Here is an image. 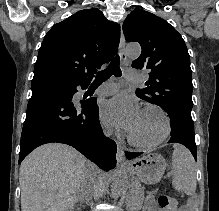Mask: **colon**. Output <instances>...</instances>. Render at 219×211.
Returning <instances> with one entry per match:
<instances>
[{"label": "colon", "instance_id": "obj_1", "mask_svg": "<svg viewBox=\"0 0 219 211\" xmlns=\"http://www.w3.org/2000/svg\"><path fill=\"white\" fill-rule=\"evenodd\" d=\"M158 204L164 211H176L177 209V201L169 195H160Z\"/></svg>", "mask_w": 219, "mask_h": 211}]
</instances>
